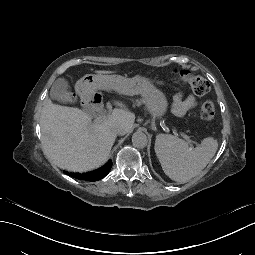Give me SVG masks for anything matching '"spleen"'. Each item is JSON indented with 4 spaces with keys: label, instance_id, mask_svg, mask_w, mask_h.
Wrapping results in <instances>:
<instances>
[{
    "label": "spleen",
    "instance_id": "1",
    "mask_svg": "<svg viewBox=\"0 0 255 255\" xmlns=\"http://www.w3.org/2000/svg\"><path fill=\"white\" fill-rule=\"evenodd\" d=\"M218 148L214 137H205L196 148L169 134L155 138L154 151L165 175L172 180L185 183L196 176L212 159Z\"/></svg>",
    "mask_w": 255,
    "mask_h": 255
}]
</instances>
